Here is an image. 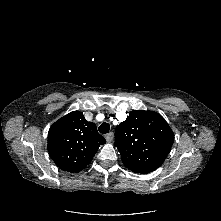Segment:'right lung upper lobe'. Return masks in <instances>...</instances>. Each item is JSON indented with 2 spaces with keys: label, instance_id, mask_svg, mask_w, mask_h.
<instances>
[{
  "label": "right lung upper lobe",
  "instance_id": "right-lung-upper-lobe-1",
  "mask_svg": "<svg viewBox=\"0 0 221 221\" xmlns=\"http://www.w3.org/2000/svg\"><path fill=\"white\" fill-rule=\"evenodd\" d=\"M105 138L96 125L88 122L79 111H73L56 121L48 132V151L63 171L77 173L92 160Z\"/></svg>",
  "mask_w": 221,
  "mask_h": 221
}]
</instances>
